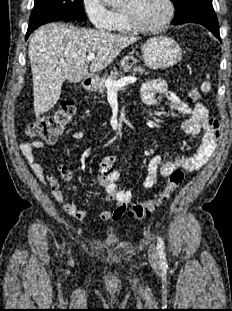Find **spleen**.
Returning <instances> with one entry per match:
<instances>
[{
    "label": "spleen",
    "mask_w": 232,
    "mask_h": 311,
    "mask_svg": "<svg viewBox=\"0 0 232 311\" xmlns=\"http://www.w3.org/2000/svg\"><path fill=\"white\" fill-rule=\"evenodd\" d=\"M206 78L209 80L210 78V75L207 74L206 75ZM201 90L205 93L209 92L211 90V84L209 81H206V82H203L202 85H201Z\"/></svg>",
    "instance_id": "spleen-1"
}]
</instances>
